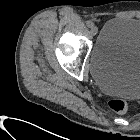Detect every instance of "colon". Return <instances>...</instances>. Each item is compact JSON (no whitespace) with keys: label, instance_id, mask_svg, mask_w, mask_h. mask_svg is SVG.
Returning a JSON list of instances; mask_svg holds the SVG:
<instances>
[{"label":"colon","instance_id":"colon-1","mask_svg":"<svg viewBox=\"0 0 140 140\" xmlns=\"http://www.w3.org/2000/svg\"><path fill=\"white\" fill-rule=\"evenodd\" d=\"M108 106L116 113H125L127 111V102L120 98H112L108 102Z\"/></svg>","mask_w":140,"mask_h":140}]
</instances>
